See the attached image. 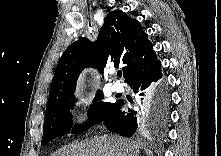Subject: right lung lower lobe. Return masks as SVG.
<instances>
[{
    "label": "right lung lower lobe",
    "instance_id": "right-lung-lower-lobe-1",
    "mask_svg": "<svg viewBox=\"0 0 221 156\" xmlns=\"http://www.w3.org/2000/svg\"><path fill=\"white\" fill-rule=\"evenodd\" d=\"M133 92L141 96L144 113L126 108L120 100L115 111L103 121L106 128L121 136L131 137L138 128H159L166 124L169 113V90L157 60L126 81Z\"/></svg>",
    "mask_w": 221,
    "mask_h": 156
}]
</instances>
